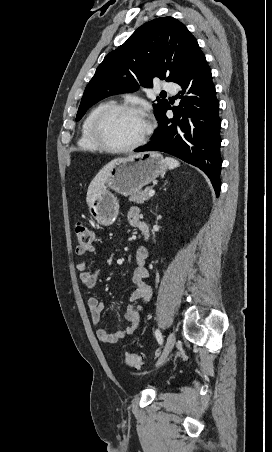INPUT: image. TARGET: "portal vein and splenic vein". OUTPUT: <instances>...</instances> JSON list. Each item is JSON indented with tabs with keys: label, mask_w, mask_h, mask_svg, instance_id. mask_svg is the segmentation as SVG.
<instances>
[{
	"label": "portal vein and splenic vein",
	"mask_w": 272,
	"mask_h": 452,
	"mask_svg": "<svg viewBox=\"0 0 272 452\" xmlns=\"http://www.w3.org/2000/svg\"><path fill=\"white\" fill-rule=\"evenodd\" d=\"M154 194H155V190H151V191L149 192L148 196H149V197H152V196H154Z\"/></svg>",
	"instance_id": "obj_1"
}]
</instances>
